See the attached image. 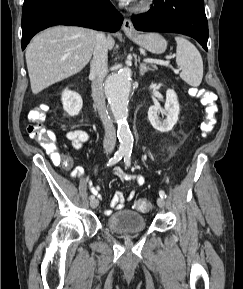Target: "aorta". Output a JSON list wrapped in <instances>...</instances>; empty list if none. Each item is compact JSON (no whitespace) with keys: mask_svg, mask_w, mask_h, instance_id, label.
I'll return each mask as SVG.
<instances>
[{"mask_svg":"<svg viewBox=\"0 0 243 289\" xmlns=\"http://www.w3.org/2000/svg\"><path fill=\"white\" fill-rule=\"evenodd\" d=\"M131 74V69L128 67L120 69L106 79L104 88L111 113L118 124L117 136L121 153L131 152L133 147V136L127 122Z\"/></svg>","mask_w":243,"mask_h":289,"instance_id":"obj_1","label":"aorta"}]
</instances>
